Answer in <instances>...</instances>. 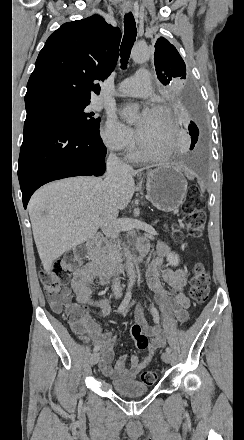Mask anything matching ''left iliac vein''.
<instances>
[{"label": "left iliac vein", "instance_id": "left-iliac-vein-1", "mask_svg": "<svg viewBox=\"0 0 244 440\" xmlns=\"http://www.w3.org/2000/svg\"><path fill=\"white\" fill-rule=\"evenodd\" d=\"M161 358L165 363H170L171 354L169 352H164V353H162Z\"/></svg>", "mask_w": 244, "mask_h": 440}]
</instances>
